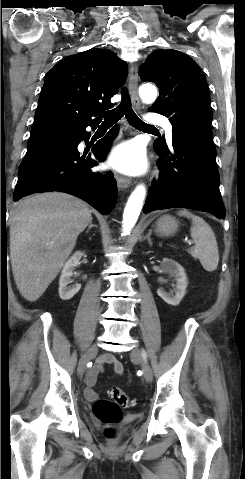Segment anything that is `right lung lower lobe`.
Instances as JSON below:
<instances>
[{"label": "right lung lower lobe", "instance_id": "obj_1", "mask_svg": "<svg viewBox=\"0 0 245 479\" xmlns=\"http://www.w3.org/2000/svg\"><path fill=\"white\" fill-rule=\"evenodd\" d=\"M99 123L56 130L28 143L13 200L38 192L59 191L83 199L104 215L110 214L117 198V182L111 172L104 175L90 168L98 164L97 160H105L118 127L92 147V157L77 149L82 140L87 143L89 139L86 127L95 129Z\"/></svg>", "mask_w": 245, "mask_h": 479}]
</instances>
